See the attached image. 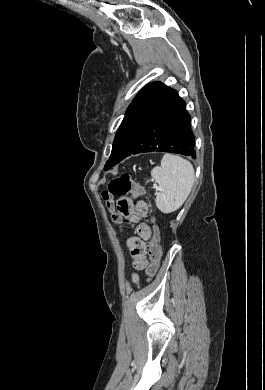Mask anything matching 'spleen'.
Wrapping results in <instances>:
<instances>
[{"instance_id":"spleen-1","label":"spleen","mask_w":265,"mask_h":390,"mask_svg":"<svg viewBox=\"0 0 265 390\" xmlns=\"http://www.w3.org/2000/svg\"><path fill=\"white\" fill-rule=\"evenodd\" d=\"M152 178L159 185L156 206L163 213L179 209L191 192L194 182V168L187 160L173 154H164L160 167L151 171Z\"/></svg>"}]
</instances>
